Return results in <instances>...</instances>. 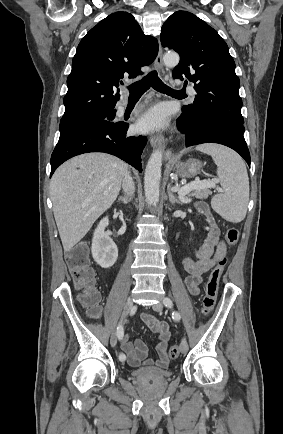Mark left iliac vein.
Wrapping results in <instances>:
<instances>
[{
  "label": "left iliac vein",
  "instance_id": "1",
  "mask_svg": "<svg viewBox=\"0 0 283 434\" xmlns=\"http://www.w3.org/2000/svg\"><path fill=\"white\" fill-rule=\"evenodd\" d=\"M154 311L161 312L163 310V304L161 302L156 303L152 306ZM181 353L185 354L188 351V344L186 341H183L180 345Z\"/></svg>",
  "mask_w": 283,
  "mask_h": 434
}]
</instances>
